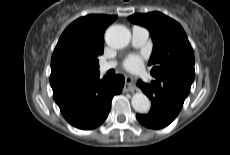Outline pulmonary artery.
I'll list each match as a JSON object with an SVG mask.
<instances>
[{"mask_svg":"<svg viewBox=\"0 0 230 155\" xmlns=\"http://www.w3.org/2000/svg\"><path fill=\"white\" fill-rule=\"evenodd\" d=\"M132 44L135 47H142L148 40L149 32L146 28L134 26L131 31ZM116 66L115 61H108L99 65V71L105 73Z\"/></svg>","mask_w":230,"mask_h":155,"instance_id":"1","label":"pulmonary artery"}]
</instances>
